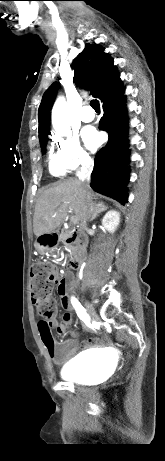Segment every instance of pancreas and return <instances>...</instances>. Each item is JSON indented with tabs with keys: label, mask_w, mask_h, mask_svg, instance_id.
Instances as JSON below:
<instances>
[{
	"label": "pancreas",
	"mask_w": 165,
	"mask_h": 461,
	"mask_svg": "<svg viewBox=\"0 0 165 461\" xmlns=\"http://www.w3.org/2000/svg\"><path fill=\"white\" fill-rule=\"evenodd\" d=\"M67 247L72 251L74 250V247L72 245H67Z\"/></svg>",
	"instance_id": "pancreas-1"
}]
</instances>
